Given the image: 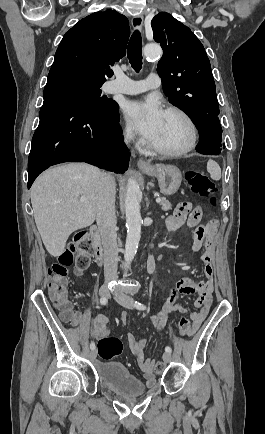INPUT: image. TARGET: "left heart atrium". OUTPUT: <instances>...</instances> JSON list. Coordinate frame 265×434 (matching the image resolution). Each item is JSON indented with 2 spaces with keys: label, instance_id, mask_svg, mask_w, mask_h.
Segmentation results:
<instances>
[{
  "label": "left heart atrium",
  "instance_id": "left-heart-atrium-1",
  "mask_svg": "<svg viewBox=\"0 0 265 434\" xmlns=\"http://www.w3.org/2000/svg\"><path fill=\"white\" fill-rule=\"evenodd\" d=\"M155 97L144 101H132L125 107L129 125L148 141H153L162 123L165 112Z\"/></svg>",
  "mask_w": 265,
  "mask_h": 434
}]
</instances>
